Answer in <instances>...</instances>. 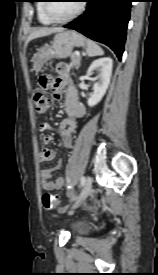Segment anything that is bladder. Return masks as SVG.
<instances>
[{"label":"bladder","mask_w":158,"mask_h":275,"mask_svg":"<svg viewBox=\"0 0 158 275\" xmlns=\"http://www.w3.org/2000/svg\"><path fill=\"white\" fill-rule=\"evenodd\" d=\"M85 231V224L82 221L75 222L71 227L73 234H81Z\"/></svg>","instance_id":"bladder-1"}]
</instances>
